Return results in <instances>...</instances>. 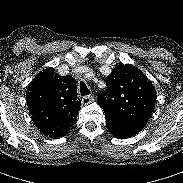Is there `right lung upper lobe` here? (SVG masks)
Returning a JSON list of instances; mask_svg holds the SVG:
<instances>
[{
	"label": "right lung upper lobe",
	"instance_id": "1",
	"mask_svg": "<svg viewBox=\"0 0 183 183\" xmlns=\"http://www.w3.org/2000/svg\"><path fill=\"white\" fill-rule=\"evenodd\" d=\"M26 97L35 126L46 136H65L75 124L81 101L72 76L54 75L47 68L29 84Z\"/></svg>",
	"mask_w": 183,
	"mask_h": 183
}]
</instances>
